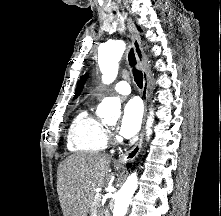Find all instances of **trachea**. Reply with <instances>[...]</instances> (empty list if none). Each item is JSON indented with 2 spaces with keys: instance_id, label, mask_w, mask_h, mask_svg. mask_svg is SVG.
I'll use <instances>...</instances> for the list:
<instances>
[{
  "instance_id": "1",
  "label": "trachea",
  "mask_w": 221,
  "mask_h": 216,
  "mask_svg": "<svg viewBox=\"0 0 221 216\" xmlns=\"http://www.w3.org/2000/svg\"><path fill=\"white\" fill-rule=\"evenodd\" d=\"M128 60H129L130 66L133 69L134 80H135L137 86L139 88H142V85H143V75H142L141 71H139V70H137L135 68V66H136V58H135V54H134L133 49H131L130 52H129Z\"/></svg>"
}]
</instances>
